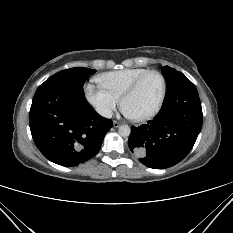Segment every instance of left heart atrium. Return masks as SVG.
Segmentation results:
<instances>
[{"mask_svg": "<svg viewBox=\"0 0 233 233\" xmlns=\"http://www.w3.org/2000/svg\"><path fill=\"white\" fill-rule=\"evenodd\" d=\"M123 111L126 115H129V113L125 109H123Z\"/></svg>", "mask_w": 233, "mask_h": 233, "instance_id": "39dd6f15", "label": "left heart atrium"}]
</instances>
